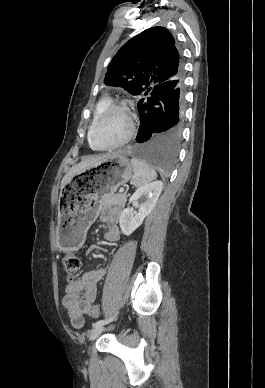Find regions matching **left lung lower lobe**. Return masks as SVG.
<instances>
[{
    "label": "left lung lower lobe",
    "instance_id": "left-lung-lower-lobe-1",
    "mask_svg": "<svg viewBox=\"0 0 265 388\" xmlns=\"http://www.w3.org/2000/svg\"><path fill=\"white\" fill-rule=\"evenodd\" d=\"M140 126L131 148L136 157L163 171L175 162L184 115V75L158 85L137 104Z\"/></svg>",
    "mask_w": 265,
    "mask_h": 388
}]
</instances>
